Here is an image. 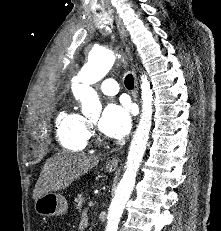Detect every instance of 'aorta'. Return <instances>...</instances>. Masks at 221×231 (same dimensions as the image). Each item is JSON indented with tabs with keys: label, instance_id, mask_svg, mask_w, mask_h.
<instances>
[{
	"label": "aorta",
	"instance_id": "1",
	"mask_svg": "<svg viewBox=\"0 0 221 231\" xmlns=\"http://www.w3.org/2000/svg\"><path fill=\"white\" fill-rule=\"evenodd\" d=\"M118 55L109 49L94 48L88 56V62L82 67L78 76L72 80V91L76 100L82 105L85 115L98 113L101 104L92 84L100 81L112 68ZM142 112L132 138L126 170L116 189L110 204L105 231H118L120 218L135 186L137 171L144 156L152 126L153 93L147 76H141Z\"/></svg>",
	"mask_w": 221,
	"mask_h": 231
}]
</instances>
